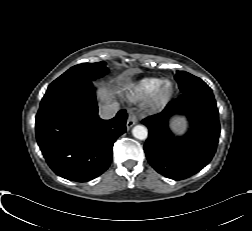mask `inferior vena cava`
I'll return each mask as SVG.
<instances>
[{
    "label": "inferior vena cava",
    "instance_id": "602c4592",
    "mask_svg": "<svg viewBox=\"0 0 252 231\" xmlns=\"http://www.w3.org/2000/svg\"><path fill=\"white\" fill-rule=\"evenodd\" d=\"M118 111H119L118 102L106 104L99 108V116L102 119H111L117 114Z\"/></svg>",
    "mask_w": 252,
    "mask_h": 231
}]
</instances>
